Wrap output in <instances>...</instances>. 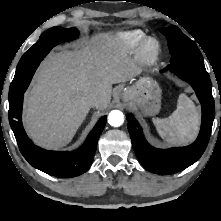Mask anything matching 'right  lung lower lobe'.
Instances as JSON below:
<instances>
[{
	"mask_svg": "<svg viewBox=\"0 0 221 221\" xmlns=\"http://www.w3.org/2000/svg\"><path fill=\"white\" fill-rule=\"evenodd\" d=\"M44 57L37 60V64ZM9 100V123L24 158L35 168L57 177H75L86 172L93 162L97 141L106 124L103 116L88 135L85 143L74 152L48 151L34 145L22 126L23 94Z\"/></svg>",
	"mask_w": 221,
	"mask_h": 221,
	"instance_id": "1",
	"label": "right lung lower lobe"
}]
</instances>
